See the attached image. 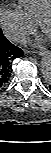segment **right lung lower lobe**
<instances>
[{"label":"right lung lower lobe","instance_id":"right-lung-lower-lobe-1","mask_svg":"<svg viewBox=\"0 0 51 153\" xmlns=\"http://www.w3.org/2000/svg\"><path fill=\"white\" fill-rule=\"evenodd\" d=\"M23 56V51L10 43L0 30V87L5 85L11 76L12 61Z\"/></svg>","mask_w":51,"mask_h":153}]
</instances>
